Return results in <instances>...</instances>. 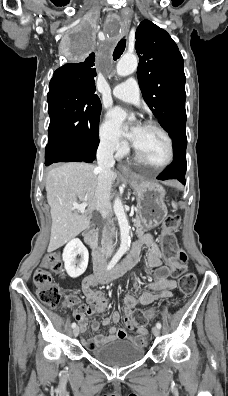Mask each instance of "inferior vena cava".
Wrapping results in <instances>:
<instances>
[{
	"instance_id": "1",
	"label": "inferior vena cava",
	"mask_w": 228,
	"mask_h": 396,
	"mask_svg": "<svg viewBox=\"0 0 228 396\" xmlns=\"http://www.w3.org/2000/svg\"><path fill=\"white\" fill-rule=\"evenodd\" d=\"M114 148L112 145L102 142L97 150V171L98 184L96 189V209L106 211L109 205L110 191L112 185V170L114 167L115 160L113 157ZM114 250V246L111 240H107L105 244V252L111 255Z\"/></svg>"
}]
</instances>
